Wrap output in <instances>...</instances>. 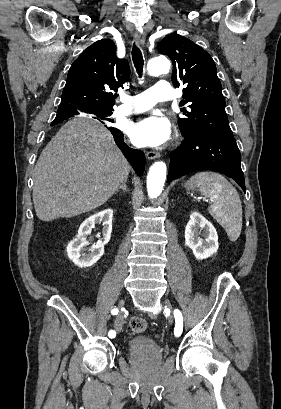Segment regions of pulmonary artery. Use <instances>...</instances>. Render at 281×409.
Returning <instances> with one entry per match:
<instances>
[{
  "label": "pulmonary artery",
  "instance_id": "1",
  "mask_svg": "<svg viewBox=\"0 0 281 409\" xmlns=\"http://www.w3.org/2000/svg\"><path fill=\"white\" fill-rule=\"evenodd\" d=\"M156 88L157 90H143L142 94H133L132 102H124L122 107H116L115 114L125 115L148 110L157 103L173 99L172 81H157Z\"/></svg>",
  "mask_w": 281,
  "mask_h": 409
}]
</instances>
